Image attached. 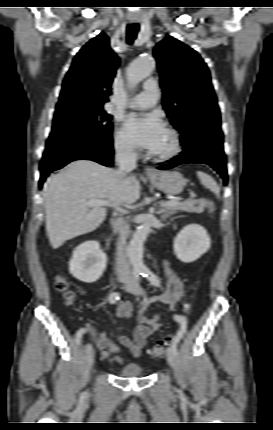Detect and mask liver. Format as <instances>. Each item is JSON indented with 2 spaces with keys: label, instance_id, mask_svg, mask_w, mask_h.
Segmentation results:
<instances>
[{
  "label": "liver",
  "instance_id": "obj_1",
  "mask_svg": "<svg viewBox=\"0 0 273 430\" xmlns=\"http://www.w3.org/2000/svg\"><path fill=\"white\" fill-rule=\"evenodd\" d=\"M140 184L127 175L91 160L69 163L60 173L51 175L44 186L46 231L53 249L77 236L94 231L105 219L106 208L90 207L91 199L111 205L133 204L140 198Z\"/></svg>",
  "mask_w": 273,
  "mask_h": 430
}]
</instances>
